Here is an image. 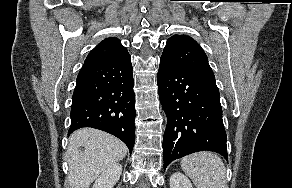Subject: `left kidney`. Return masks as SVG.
<instances>
[{
    "mask_svg": "<svg viewBox=\"0 0 292 188\" xmlns=\"http://www.w3.org/2000/svg\"><path fill=\"white\" fill-rule=\"evenodd\" d=\"M170 188H193V186L184 174L175 172L170 177Z\"/></svg>",
    "mask_w": 292,
    "mask_h": 188,
    "instance_id": "obj_1",
    "label": "left kidney"
}]
</instances>
